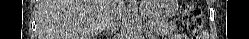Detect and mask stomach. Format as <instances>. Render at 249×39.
Instances as JSON below:
<instances>
[{
	"label": "stomach",
	"instance_id": "obj_1",
	"mask_svg": "<svg viewBox=\"0 0 249 39\" xmlns=\"http://www.w3.org/2000/svg\"><path fill=\"white\" fill-rule=\"evenodd\" d=\"M142 7L150 19L161 21L173 17L178 10L175 0H144Z\"/></svg>",
	"mask_w": 249,
	"mask_h": 39
}]
</instances>
